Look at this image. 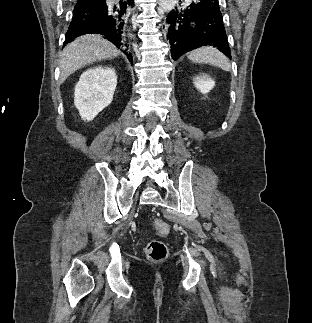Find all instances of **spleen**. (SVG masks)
I'll return each mask as SVG.
<instances>
[{"mask_svg":"<svg viewBox=\"0 0 312 323\" xmlns=\"http://www.w3.org/2000/svg\"><path fill=\"white\" fill-rule=\"evenodd\" d=\"M188 58L192 62H196V64H212V66L222 68L225 72H230L231 70L228 58L216 48H212V46H209V48L202 46V48H198L194 52H189Z\"/></svg>","mask_w":312,"mask_h":323,"instance_id":"1","label":"spleen"}]
</instances>
